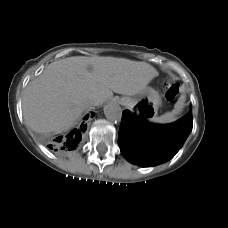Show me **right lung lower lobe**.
<instances>
[{
    "label": "right lung lower lobe",
    "instance_id": "obj_1",
    "mask_svg": "<svg viewBox=\"0 0 228 228\" xmlns=\"http://www.w3.org/2000/svg\"><path fill=\"white\" fill-rule=\"evenodd\" d=\"M89 115H86L84 120H87ZM87 129V124L82 122L79 126L72 129L70 132L60 136H53L46 139L45 144L47 147L56 151L59 154H66L71 150H74L80 141Z\"/></svg>",
    "mask_w": 228,
    "mask_h": 228
}]
</instances>
